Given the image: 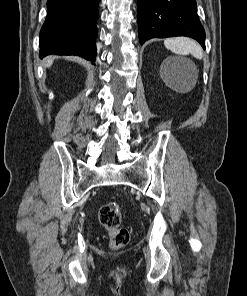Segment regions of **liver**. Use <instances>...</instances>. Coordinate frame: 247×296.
I'll return each mask as SVG.
<instances>
[{"label":"liver","mask_w":247,"mask_h":296,"mask_svg":"<svg viewBox=\"0 0 247 296\" xmlns=\"http://www.w3.org/2000/svg\"><path fill=\"white\" fill-rule=\"evenodd\" d=\"M53 63V59L52 58H48L47 61H46V66L49 67L51 66Z\"/></svg>","instance_id":"liver-1"}]
</instances>
